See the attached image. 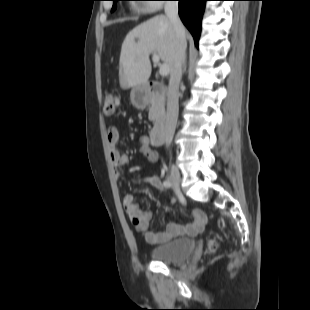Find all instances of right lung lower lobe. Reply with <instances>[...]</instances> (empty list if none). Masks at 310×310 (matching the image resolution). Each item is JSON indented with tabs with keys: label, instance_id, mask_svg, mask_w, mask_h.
<instances>
[{
	"label": "right lung lower lobe",
	"instance_id": "1",
	"mask_svg": "<svg viewBox=\"0 0 310 310\" xmlns=\"http://www.w3.org/2000/svg\"><path fill=\"white\" fill-rule=\"evenodd\" d=\"M179 16L193 35L196 46L200 37L201 20L207 0H178Z\"/></svg>",
	"mask_w": 310,
	"mask_h": 310
}]
</instances>
